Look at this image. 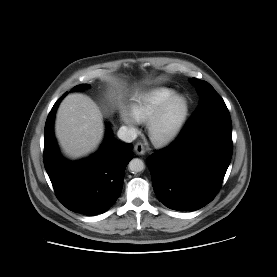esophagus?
Listing matches in <instances>:
<instances>
[{
  "label": "esophagus",
  "mask_w": 277,
  "mask_h": 277,
  "mask_svg": "<svg viewBox=\"0 0 277 277\" xmlns=\"http://www.w3.org/2000/svg\"><path fill=\"white\" fill-rule=\"evenodd\" d=\"M134 150H135L136 154H138V155H144L146 152L145 146L141 142L137 143L134 146Z\"/></svg>",
  "instance_id": "34e87169"
}]
</instances>
